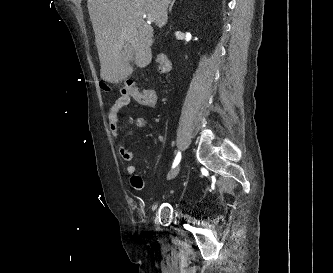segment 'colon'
Wrapping results in <instances>:
<instances>
[{
    "instance_id": "5ec220e1",
    "label": "colon",
    "mask_w": 333,
    "mask_h": 273,
    "mask_svg": "<svg viewBox=\"0 0 333 273\" xmlns=\"http://www.w3.org/2000/svg\"><path fill=\"white\" fill-rule=\"evenodd\" d=\"M155 67L159 73H167L170 70V61L164 54H158L155 58ZM108 88L107 86H104ZM136 87L131 81L126 82L120 87L121 95H133L136 92Z\"/></svg>"
}]
</instances>
